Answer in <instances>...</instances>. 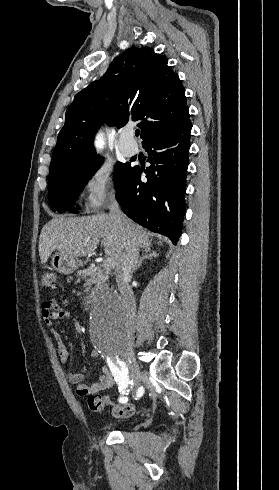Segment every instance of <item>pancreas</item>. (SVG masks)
<instances>
[{
	"label": "pancreas",
	"instance_id": "1",
	"mask_svg": "<svg viewBox=\"0 0 279 490\" xmlns=\"http://www.w3.org/2000/svg\"><path fill=\"white\" fill-rule=\"evenodd\" d=\"M104 268L103 266H96V268H87V270H84L83 276L86 282L85 286L104 284L109 278L110 270H112V268H107V270H104Z\"/></svg>",
	"mask_w": 279,
	"mask_h": 490
}]
</instances>
